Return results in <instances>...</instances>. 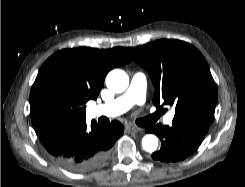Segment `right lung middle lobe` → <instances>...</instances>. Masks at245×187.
<instances>
[{"mask_svg":"<svg viewBox=\"0 0 245 187\" xmlns=\"http://www.w3.org/2000/svg\"><path fill=\"white\" fill-rule=\"evenodd\" d=\"M77 101V93L54 76L35 81L30 92L31 108L53 119H67Z\"/></svg>","mask_w":245,"mask_h":187,"instance_id":"1","label":"right lung middle lobe"}]
</instances>
